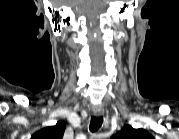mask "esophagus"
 I'll return each mask as SVG.
<instances>
[{"label": "esophagus", "mask_w": 179, "mask_h": 139, "mask_svg": "<svg viewBox=\"0 0 179 139\" xmlns=\"http://www.w3.org/2000/svg\"><path fill=\"white\" fill-rule=\"evenodd\" d=\"M93 112H94L95 116L99 117V116L103 115L104 110L103 109H95V110H93Z\"/></svg>", "instance_id": "34e87169"}]
</instances>
